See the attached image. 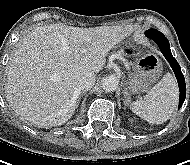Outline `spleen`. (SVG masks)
I'll list each match as a JSON object with an SVG mask.
<instances>
[{"label": "spleen", "mask_w": 190, "mask_h": 165, "mask_svg": "<svg viewBox=\"0 0 190 165\" xmlns=\"http://www.w3.org/2000/svg\"><path fill=\"white\" fill-rule=\"evenodd\" d=\"M178 85L172 74L163 78L145 95L131 104L132 111L152 124L166 122L177 107Z\"/></svg>", "instance_id": "spleen-1"}]
</instances>
